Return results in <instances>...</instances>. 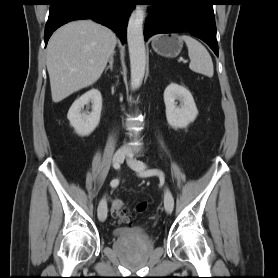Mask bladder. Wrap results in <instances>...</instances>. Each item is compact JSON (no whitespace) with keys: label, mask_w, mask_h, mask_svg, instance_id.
Here are the masks:
<instances>
[{"label":"bladder","mask_w":278,"mask_h":278,"mask_svg":"<svg viewBox=\"0 0 278 278\" xmlns=\"http://www.w3.org/2000/svg\"><path fill=\"white\" fill-rule=\"evenodd\" d=\"M113 235L120 240H138L148 237L145 230L138 228L119 227L113 230Z\"/></svg>","instance_id":"31cf9c89"}]
</instances>
